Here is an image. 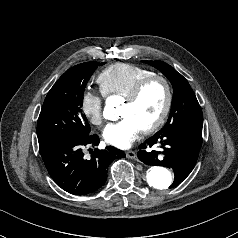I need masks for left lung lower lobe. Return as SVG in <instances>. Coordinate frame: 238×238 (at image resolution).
Instances as JSON below:
<instances>
[{"mask_svg":"<svg viewBox=\"0 0 238 238\" xmlns=\"http://www.w3.org/2000/svg\"><path fill=\"white\" fill-rule=\"evenodd\" d=\"M158 150L146 151V147ZM202 146V126H186L156 133L140 145L138 158L147 165H163L173 170L170 188L179 185L193 170Z\"/></svg>","mask_w":238,"mask_h":238,"instance_id":"0a47b994","label":"left lung lower lobe"}]
</instances>
